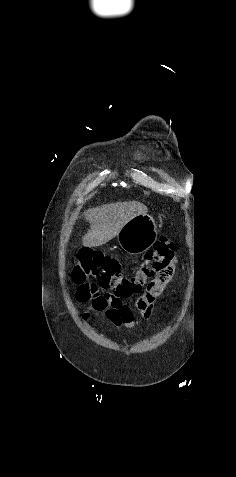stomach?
Here are the masks:
<instances>
[{
    "mask_svg": "<svg viewBox=\"0 0 236 477\" xmlns=\"http://www.w3.org/2000/svg\"><path fill=\"white\" fill-rule=\"evenodd\" d=\"M157 226L152 216L140 214L131 218L120 230L117 240L127 253L138 255L152 247L157 239Z\"/></svg>",
    "mask_w": 236,
    "mask_h": 477,
    "instance_id": "0dacf381",
    "label": "stomach"
}]
</instances>
